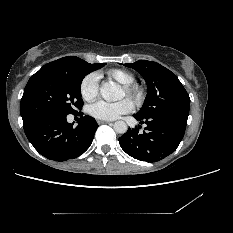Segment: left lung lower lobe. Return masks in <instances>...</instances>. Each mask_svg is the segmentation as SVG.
Here are the masks:
<instances>
[{
	"label": "left lung lower lobe",
	"mask_w": 233,
	"mask_h": 233,
	"mask_svg": "<svg viewBox=\"0 0 233 233\" xmlns=\"http://www.w3.org/2000/svg\"><path fill=\"white\" fill-rule=\"evenodd\" d=\"M134 117L145 123V131L128 129L119 138L121 148L131 157L140 161L157 162L174 152L180 144L186 129L187 118L151 116Z\"/></svg>",
	"instance_id": "left-lung-lower-lobe-1"
}]
</instances>
